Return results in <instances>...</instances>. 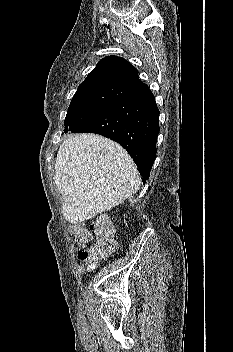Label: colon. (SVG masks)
<instances>
[{"instance_id":"1","label":"colon","mask_w":233,"mask_h":352,"mask_svg":"<svg viewBox=\"0 0 233 352\" xmlns=\"http://www.w3.org/2000/svg\"><path fill=\"white\" fill-rule=\"evenodd\" d=\"M93 232L96 239L91 246H87ZM72 233L79 246V258L89 261L91 263L89 268L94 266L95 261L104 258L115 249L111 228L101 219H97L89 227L75 225L72 227Z\"/></svg>"}]
</instances>
